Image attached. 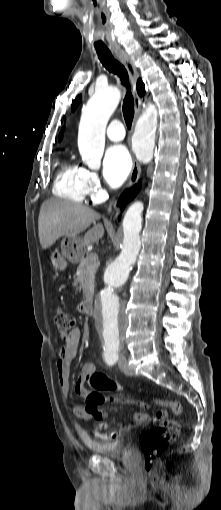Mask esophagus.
<instances>
[{
	"label": "esophagus",
	"mask_w": 221,
	"mask_h": 510,
	"mask_svg": "<svg viewBox=\"0 0 221 510\" xmlns=\"http://www.w3.org/2000/svg\"><path fill=\"white\" fill-rule=\"evenodd\" d=\"M116 55H117V58L126 67L128 73L130 75L132 85H133V97H134V107H135V117H134V121H133V127H134L135 123L138 119V116L140 113V106H141V98L139 97L137 89H136V83L139 78V73L137 71V68H136L133 60L126 53L119 52ZM140 174H141V167H140L138 161L134 158L133 166H132V170H131V174H130V178H129V182H128V186H127L128 189L132 188L137 183L138 179L140 178ZM117 212H118V210L115 209V211L111 215V219H114L117 216Z\"/></svg>",
	"instance_id": "34e87169"
}]
</instances>
